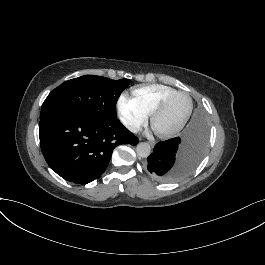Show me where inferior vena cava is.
I'll return each mask as SVG.
<instances>
[{
    "instance_id": "602c4592",
    "label": "inferior vena cava",
    "mask_w": 265,
    "mask_h": 265,
    "mask_svg": "<svg viewBox=\"0 0 265 265\" xmlns=\"http://www.w3.org/2000/svg\"><path fill=\"white\" fill-rule=\"evenodd\" d=\"M127 128L133 132V133H137L140 130V125L138 124H131V125H127Z\"/></svg>"
}]
</instances>
